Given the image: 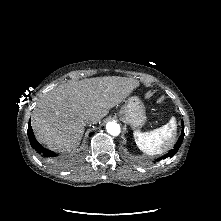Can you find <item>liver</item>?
Segmentation results:
<instances>
[{
	"label": "liver",
	"instance_id": "liver-1",
	"mask_svg": "<svg viewBox=\"0 0 221 221\" xmlns=\"http://www.w3.org/2000/svg\"><path fill=\"white\" fill-rule=\"evenodd\" d=\"M138 86V80L119 76L59 85L46 93L32 112L36 138L56 151L75 150L85 130L84 119L90 118L93 124L99 122Z\"/></svg>",
	"mask_w": 221,
	"mask_h": 221
}]
</instances>
